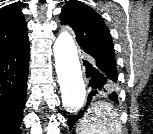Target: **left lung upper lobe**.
I'll return each mask as SVG.
<instances>
[{
	"label": "left lung upper lobe",
	"mask_w": 153,
	"mask_h": 134,
	"mask_svg": "<svg viewBox=\"0 0 153 134\" xmlns=\"http://www.w3.org/2000/svg\"><path fill=\"white\" fill-rule=\"evenodd\" d=\"M60 20L72 27L78 44L90 58L117 71L111 35L98 13L78 1H68L62 8ZM117 81L111 82L107 90L116 91Z\"/></svg>",
	"instance_id": "1"
}]
</instances>
